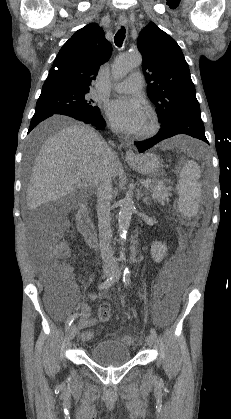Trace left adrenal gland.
Here are the masks:
<instances>
[{"mask_svg": "<svg viewBox=\"0 0 231 419\" xmlns=\"http://www.w3.org/2000/svg\"><path fill=\"white\" fill-rule=\"evenodd\" d=\"M141 196H143V195H141ZM143 202H144L147 206H148V205H150V202H148L147 197L143 198Z\"/></svg>", "mask_w": 231, "mask_h": 419, "instance_id": "a2214340", "label": "left adrenal gland"}]
</instances>
